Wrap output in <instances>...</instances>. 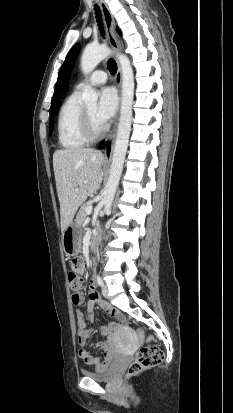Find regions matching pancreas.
<instances>
[{
	"instance_id": "obj_1",
	"label": "pancreas",
	"mask_w": 233,
	"mask_h": 413,
	"mask_svg": "<svg viewBox=\"0 0 233 413\" xmlns=\"http://www.w3.org/2000/svg\"><path fill=\"white\" fill-rule=\"evenodd\" d=\"M89 205L88 204H84L81 208H80V210H79V212H78V214H77V217H76V223L78 224V225H80V226H83L85 223H86V220H87V216H88V214L86 213V208L88 207Z\"/></svg>"
}]
</instances>
